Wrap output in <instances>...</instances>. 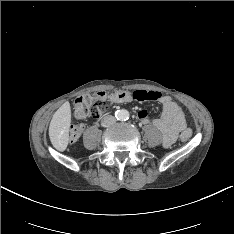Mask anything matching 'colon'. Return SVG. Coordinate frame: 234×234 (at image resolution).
Masks as SVG:
<instances>
[{
  "mask_svg": "<svg viewBox=\"0 0 234 234\" xmlns=\"http://www.w3.org/2000/svg\"><path fill=\"white\" fill-rule=\"evenodd\" d=\"M128 96H131L135 101H149L157 100L159 97V93L146 92L141 90L134 92H98L94 95L80 96L75 100V115L80 119L90 117L99 118L107 112L110 103L121 102ZM83 130V125H74L70 131L71 142L77 141L80 138ZM191 135V131L189 129H186L181 135L182 141L189 140Z\"/></svg>",
  "mask_w": 234,
  "mask_h": 234,
  "instance_id": "1",
  "label": "colon"
}]
</instances>
